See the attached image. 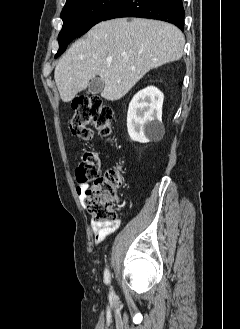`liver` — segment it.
I'll return each mask as SVG.
<instances>
[{"label":"liver","instance_id":"obj_1","mask_svg":"<svg viewBox=\"0 0 240 329\" xmlns=\"http://www.w3.org/2000/svg\"><path fill=\"white\" fill-rule=\"evenodd\" d=\"M184 44L182 32L166 22L125 18L100 22L56 65L60 97L72 101L99 75L104 82L101 96L119 100L151 69L179 60Z\"/></svg>","mask_w":240,"mask_h":329}]
</instances>
